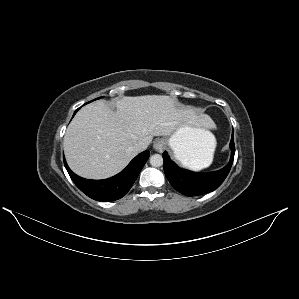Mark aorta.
<instances>
[{"mask_svg": "<svg viewBox=\"0 0 299 299\" xmlns=\"http://www.w3.org/2000/svg\"><path fill=\"white\" fill-rule=\"evenodd\" d=\"M150 164L154 167L163 165V157L160 154H154L150 157Z\"/></svg>", "mask_w": 299, "mask_h": 299, "instance_id": "762f6f07", "label": "aorta"}]
</instances>
